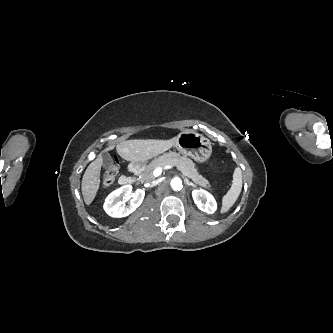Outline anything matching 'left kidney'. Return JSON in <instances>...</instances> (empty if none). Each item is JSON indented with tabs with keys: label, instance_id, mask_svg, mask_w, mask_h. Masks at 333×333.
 Listing matches in <instances>:
<instances>
[{
	"label": "left kidney",
	"instance_id": "left-kidney-1",
	"mask_svg": "<svg viewBox=\"0 0 333 333\" xmlns=\"http://www.w3.org/2000/svg\"><path fill=\"white\" fill-rule=\"evenodd\" d=\"M192 197L197 207L208 214H213L217 209V203L212 194L203 189L192 191Z\"/></svg>",
	"mask_w": 333,
	"mask_h": 333
}]
</instances>
